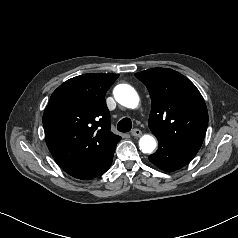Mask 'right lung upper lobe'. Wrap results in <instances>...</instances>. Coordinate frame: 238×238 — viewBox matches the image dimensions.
I'll use <instances>...</instances> for the list:
<instances>
[{
	"label": "right lung upper lobe",
	"mask_w": 238,
	"mask_h": 238,
	"mask_svg": "<svg viewBox=\"0 0 238 238\" xmlns=\"http://www.w3.org/2000/svg\"><path fill=\"white\" fill-rule=\"evenodd\" d=\"M119 74H84L61 84L43 114L46 144L58 165L78 179L104 173L121 137L110 131L106 91Z\"/></svg>",
	"instance_id": "cb5924a9"
}]
</instances>
